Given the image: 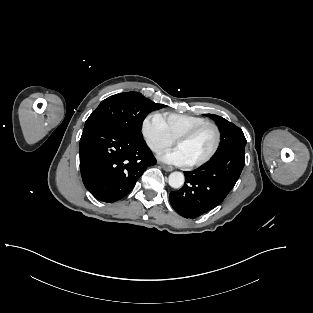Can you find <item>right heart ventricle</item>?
Masks as SVG:
<instances>
[{"instance_id":"e07e8e85","label":"right heart ventricle","mask_w":313,"mask_h":313,"mask_svg":"<svg viewBox=\"0 0 313 313\" xmlns=\"http://www.w3.org/2000/svg\"><path fill=\"white\" fill-rule=\"evenodd\" d=\"M165 127L173 140L207 120L200 116L166 112L160 114Z\"/></svg>"}]
</instances>
